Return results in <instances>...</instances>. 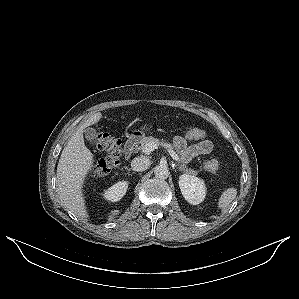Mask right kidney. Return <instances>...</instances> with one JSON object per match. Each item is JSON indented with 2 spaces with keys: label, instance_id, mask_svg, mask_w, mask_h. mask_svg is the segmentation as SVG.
Wrapping results in <instances>:
<instances>
[{
  "label": "right kidney",
  "instance_id": "1",
  "mask_svg": "<svg viewBox=\"0 0 299 299\" xmlns=\"http://www.w3.org/2000/svg\"><path fill=\"white\" fill-rule=\"evenodd\" d=\"M127 188V181L117 182L104 192V198L111 202L119 201L125 195Z\"/></svg>",
  "mask_w": 299,
  "mask_h": 299
}]
</instances>
